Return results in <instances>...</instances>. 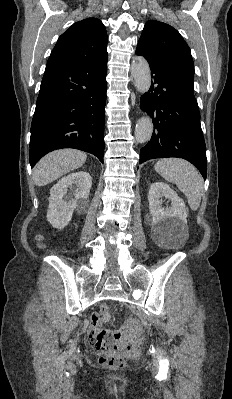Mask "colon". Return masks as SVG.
I'll list each match as a JSON object with an SVG mask.
<instances>
[{
    "instance_id": "colon-1",
    "label": "colon",
    "mask_w": 232,
    "mask_h": 399,
    "mask_svg": "<svg viewBox=\"0 0 232 399\" xmlns=\"http://www.w3.org/2000/svg\"><path fill=\"white\" fill-rule=\"evenodd\" d=\"M143 322L139 317H128L126 326H99L93 330L96 353H102L101 365L103 368H118L127 365V358L113 353H136L137 341Z\"/></svg>"
}]
</instances>
